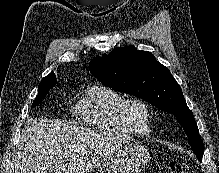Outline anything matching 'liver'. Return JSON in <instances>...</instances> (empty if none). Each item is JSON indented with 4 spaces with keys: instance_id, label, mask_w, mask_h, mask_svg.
Masks as SVG:
<instances>
[{
    "instance_id": "1",
    "label": "liver",
    "mask_w": 219,
    "mask_h": 173,
    "mask_svg": "<svg viewBox=\"0 0 219 173\" xmlns=\"http://www.w3.org/2000/svg\"><path fill=\"white\" fill-rule=\"evenodd\" d=\"M121 145L95 130L31 117L18 140L15 173H90Z\"/></svg>"
}]
</instances>
